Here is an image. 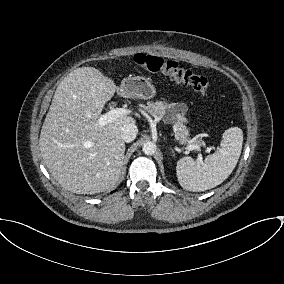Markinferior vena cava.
<instances>
[{
	"instance_id": "602c4592",
	"label": "inferior vena cava",
	"mask_w": 284,
	"mask_h": 284,
	"mask_svg": "<svg viewBox=\"0 0 284 284\" xmlns=\"http://www.w3.org/2000/svg\"><path fill=\"white\" fill-rule=\"evenodd\" d=\"M138 133V129L137 126L134 123H127L124 124L121 127V138L125 141V142H131L133 141Z\"/></svg>"
}]
</instances>
